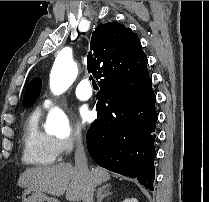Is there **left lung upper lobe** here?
Segmentation results:
<instances>
[{"label":"left lung upper lobe","instance_id":"obj_1","mask_svg":"<svg viewBox=\"0 0 209 202\" xmlns=\"http://www.w3.org/2000/svg\"><path fill=\"white\" fill-rule=\"evenodd\" d=\"M42 82L39 77L34 78L27 85L24 97H23V106L28 108L30 107L38 97L41 91Z\"/></svg>","mask_w":209,"mask_h":202}]
</instances>
